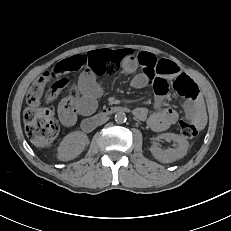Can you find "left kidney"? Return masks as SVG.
Masks as SVG:
<instances>
[{
    "instance_id": "obj_1",
    "label": "left kidney",
    "mask_w": 231,
    "mask_h": 231,
    "mask_svg": "<svg viewBox=\"0 0 231 231\" xmlns=\"http://www.w3.org/2000/svg\"><path fill=\"white\" fill-rule=\"evenodd\" d=\"M159 137L172 140L175 148L162 150L156 144H153L150 151L158 161L162 163H170L183 158L187 154L189 142L184 137L174 133H164Z\"/></svg>"
}]
</instances>
